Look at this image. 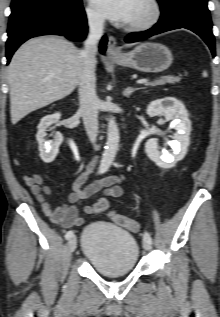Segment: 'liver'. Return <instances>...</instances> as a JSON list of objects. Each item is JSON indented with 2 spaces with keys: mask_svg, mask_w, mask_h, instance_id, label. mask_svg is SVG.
Segmentation results:
<instances>
[{
  "mask_svg": "<svg viewBox=\"0 0 220 317\" xmlns=\"http://www.w3.org/2000/svg\"><path fill=\"white\" fill-rule=\"evenodd\" d=\"M82 63L81 50L62 37L42 36L24 43L7 69L12 124L71 94Z\"/></svg>",
  "mask_w": 220,
  "mask_h": 317,
  "instance_id": "6515ba94",
  "label": "liver"
}]
</instances>
